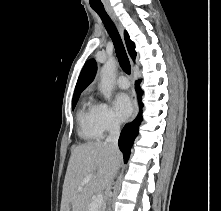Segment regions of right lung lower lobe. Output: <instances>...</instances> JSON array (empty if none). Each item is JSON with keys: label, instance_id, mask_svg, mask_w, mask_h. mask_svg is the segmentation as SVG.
<instances>
[{"label": "right lung lower lobe", "instance_id": "1", "mask_svg": "<svg viewBox=\"0 0 221 211\" xmlns=\"http://www.w3.org/2000/svg\"><path fill=\"white\" fill-rule=\"evenodd\" d=\"M140 80L136 81V90L138 94V100H139V107L140 112L137 116V118L130 124L126 125L119 137V148L123 153L124 161L127 162L129 155H130V149L133 144L134 139L138 135V127L142 121V107L143 104L141 103V96H142V90L139 87Z\"/></svg>", "mask_w": 221, "mask_h": 211}]
</instances>
